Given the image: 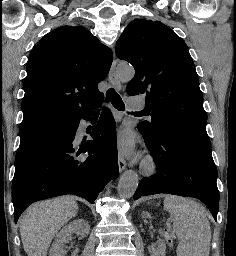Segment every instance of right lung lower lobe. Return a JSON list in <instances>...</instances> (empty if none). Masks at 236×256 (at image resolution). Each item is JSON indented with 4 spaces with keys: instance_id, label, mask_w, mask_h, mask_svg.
I'll return each instance as SVG.
<instances>
[{
    "instance_id": "98d812e1",
    "label": "right lung lower lobe",
    "mask_w": 236,
    "mask_h": 256,
    "mask_svg": "<svg viewBox=\"0 0 236 256\" xmlns=\"http://www.w3.org/2000/svg\"><path fill=\"white\" fill-rule=\"evenodd\" d=\"M92 109L20 145L12 183L15 222L30 204L50 197L75 194L93 204L104 186L118 177L116 125L107 108L90 133L93 140L78 144L79 121L89 120Z\"/></svg>"
}]
</instances>
